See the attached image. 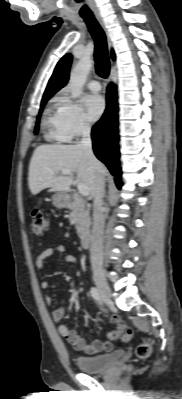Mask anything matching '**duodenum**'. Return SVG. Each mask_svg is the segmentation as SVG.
Masks as SVG:
<instances>
[{
  "label": "duodenum",
  "instance_id": "obj_1",
  "mask_svg": "<svg viewBox=\"0 0 182 399\" xmlns=\"http://www.w3.org/2000/svg\"><path fill=\"white\" fill-rule=\"evenodd\" d=\"M91 243V235L89 232H85L82 234V246L84 248H88Z\"/></svg>",
  "mask_w": 182,
  "mask_h": 399
}]
</instances>
